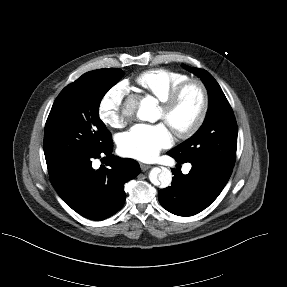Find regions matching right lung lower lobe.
Segmentation results:
<instances>
[{"label":"right lung lower lobe","instance_id":"right-lung-lower-lobe-1","mask_svg":"<svg viewBox=\"0 0 287 287\" xmlns=\"http://www.w3.org/2000/svg\"><path fill=\"white\" fill-rule=\"evenodd\" d=\"M112 150L109 141L100 150L48 166L59 196L85 218L103 220L120 210L126 198L124 184L140 173L137 161L114 156ZM102 155L110 158L108 167L93 169L92 160Z\"/></svg>","mask_w":287,"mask_h":287}]
</instances>
